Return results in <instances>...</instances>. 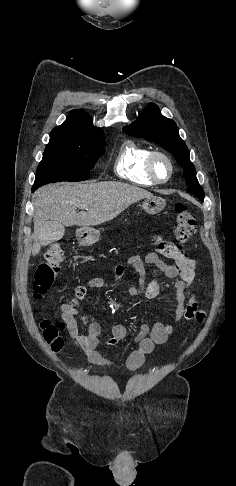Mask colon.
I'll return each instance as SVG.
<instances>
[{
  "instance_id": "colon-1",
  "label": "colon",
  "mask_w": 236,
  "mask_h": 486,
  "mask_svg": "<svg viewBox=\"0 0 236 486\" xmlns=\"http://www.w3.org/2000/svg\"><path fill=\"white\" fill-rule=\"evenodd\" d=\"M175 235L179 243H186L191 239L195 232V220L184 203H177ZM65 259L63 248L53 243L47 248L43 260L37 267L35 273L34 292L36 297L42 296L52 286L55 277L61 269V264ZM87 299V289L79 286L76 290L74 303ZM43 336L46 342L54 351L62 349L64 340L61 336L62 324H53L49 321L42 322Z\"/></svg>"
}]
</instances>
